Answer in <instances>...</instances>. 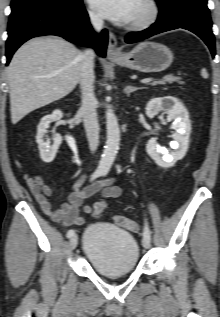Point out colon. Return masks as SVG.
<instances>
[{
  "mask_svg": "<svg viewBox=\"0 0 220 317\" xmlns=\"http://www.w3.org/2000/svg\"><path fill=\"white\" fill-rule=\"evenodd\" d=\"M103 210H104L103 206H98L97 209L93 213L94 217L98 218L101 215V213L103 212ZM113 220L120 227L126 228L130 231L138 230V224L134 220H132L126 216L115 215L113 217Z\"/></svg>",
  "mask_w": 220,
  "mask_h": 317,
  "instance_id": "1",
  "label": "colon"
}]
</instances>
